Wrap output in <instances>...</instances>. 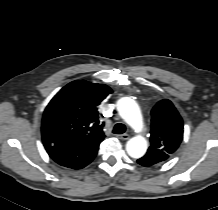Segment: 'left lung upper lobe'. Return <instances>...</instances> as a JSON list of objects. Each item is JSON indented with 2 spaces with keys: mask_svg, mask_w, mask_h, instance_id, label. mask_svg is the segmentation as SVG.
Returning a JSON list of instances; mask_svg holds the SVG:
<instances>
[{
  "mask_svg": "<svg viewBox=\"0 0 218 210\" xmlns=\"http://www.w3.org/2000/svg\"><path fill=\"white\" fill-rule=\"evenodd\" d=\"M151 145L145 154L149 166L164 162L179 147L183 121L171 101H159L151 111Z\"/></svg>",
  "mask_w": 218,
  "mask_h": 210,
  "instance_id": "1",
  "label": "left lung upper lobe"
}]
</instances>
